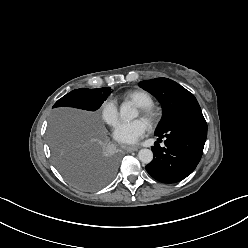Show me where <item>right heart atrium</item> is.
Here are the masks:
<instances>
[{
	"mask_svg": "<svg viewBox=\"0 0 248 248\" xmlns=\"http://www.w3.org/2000/svg\"><path fill=\"white\" fill-rule=\"evenodd\" d=\"M100 116L106 124L114 126L119 117L116 101L113 99H106L100 106Z\"/></svg>",
	"mask_w": 248,
	"mask_h": 248,
	"instance_id": "1",
	"label": "right heart atrium"
}]
</instances>
